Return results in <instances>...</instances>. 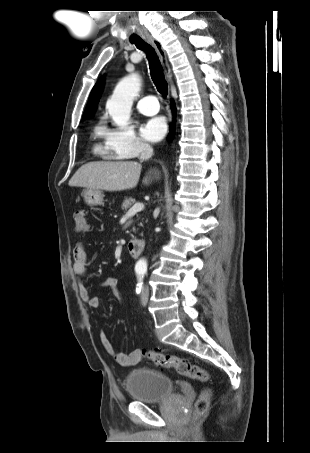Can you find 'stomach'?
Listing matches in <instances>:
<instances>
[{
  "label": "stomach",
  "mask_w": 310,
  "mask_h": 453,
  "mask_svg": "<svg viewBox=\"0 0 310 453\" xmlns=\"http://www.w3.org/2000/svg\"><path fill=\"white\" fill-rule=\"evenodd\" d=\"M82 195L88 206L101 205L103 202V194L100 190L86 189L83 191Z\"/></svg>",
  "instance_id": "1"
}]
</instances>
